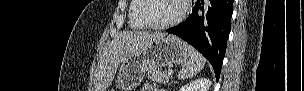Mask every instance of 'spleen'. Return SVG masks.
Masks as SVG:
<instances>
[{"label": "spleen", "instance_id": "3e777b00", "mask_svg": "<svg viewBox=\"0 0 304 91\" xmlns=\"http://www.w3.org/2000/svg\"><path fill=\"white\" fill-rule=\"evenodd\" d=\"M189 61L182 66V70L178 73V78L184 80L192 78L198 74L205 65L204 57L192 46H188Z\"/></svg>", "mask_w": 304, "mask_h": 91}]
</instances>
